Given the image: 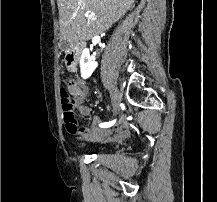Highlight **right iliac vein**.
<instances>
[{
    "mask_svg": "<svg viewBox=\"0 0 217 202\" xmlns=\"http://www.w3.org/2000/svg\"><path fill=\"white\" fill-rule=\"evenodd\" d=\"M111 95H112V106H113L114 114H116L119 110V103L121 100V94L118 91V89L114 87L112 89Z\"/></svg>",
    "mask_w": 217,
    "mask_h": 202,
    "instance_id": "right-iliac-vein-1",
    "label": "right iliac vein"
}]
</instances>
